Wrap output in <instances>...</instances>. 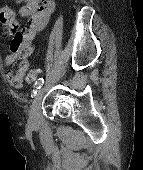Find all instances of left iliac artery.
Masks as SVG:
<instances>
[{
  "label": "left iliac artery",
  "instance_id": "obj_1",
  "mask_svg": "<svg viewBox=\"0 0 143 170\" xmlns=\"http://www.w3.org/2000/svg\"><path fill=\"white\" fill-rule=\"evenodd\" d=\"M43 84H44L43 78H39L38 81H36V83H35V89L36 90H33V93L31 95L32 97H34L37 94V90L40 89Z\"/></svg>",
  "mask_w": 143,
  "mask_h": 170
}]
</instances>
